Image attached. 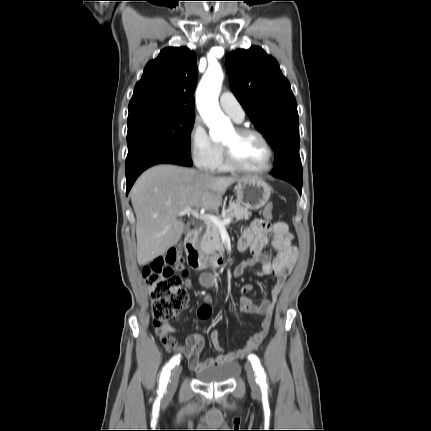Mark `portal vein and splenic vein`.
I'll return each instance as SVG.
<instances>
[{
    "mask_svg": "<svg viewBox=\"0 0 431 431\" xmlns=\"http://www.w3.org/2000/svg\"><path fill=\"white\" fill-rule=\"evenodd\" d=\"M178 215L179 216L192 215L193 217H195L197 219H201V220H204V221L212 222L213 224H215L219 228H223L225 225L229 224L232 221V218L220 219V218H218L217 216H214V215L199 214L198 211L194 210L191 207H187L184 210L180 211L178 213Z\"/></svg>",
    "mask_w": 431,
    "mask_h": 431,
    "instance_id": "obj_1",
    "label": "portal vein and splenic vein"
}]
</instances>
